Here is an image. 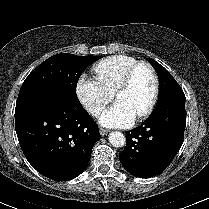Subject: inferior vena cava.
I'll list each match as a JSON object with an SVG mask.
<instances>
[{"instance_id":"602c4592","label":"inferior vena cava","mask_w":209,"mask_h":209,"mask_svg":"<svg viewBox=\"0 0 209 209\" xmlns=\"http://www.w3.org/2000/svg\"><path fill=\"white\" fill-rule=\"evenodd\" d=\"M104 107L100 105H92L89 108V112L95 115H99L103 111Z\"/></svg>"}]
</instances>
